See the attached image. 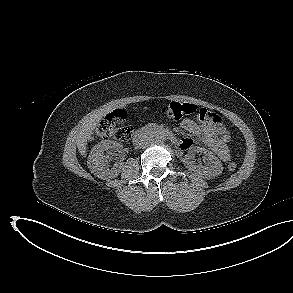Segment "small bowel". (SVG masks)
Masks as SVG:
<instances>
[{
  "instance_id": "c3829d8e",
  "label": "small bowel",
  "mask_w": 293,
  "mask_h": 293,
  "mask_svg": "<svg viewBox=\"0 0 293 293\" xmlns=\"http://www.w3.org/2000/svg\"><path fill=\"white\" fill-rule=\"evenodd\" d=\"M181 127L187 132L200 138L204 144L209 147L222 161L227 162L230 159V151L225 141L221 139L220 129L211 122H196L191 119H184ZM193 145L192 139H183L179 143L180 149H188Z\"/></svg>"
}]
</instances>
